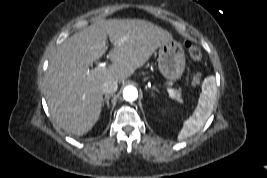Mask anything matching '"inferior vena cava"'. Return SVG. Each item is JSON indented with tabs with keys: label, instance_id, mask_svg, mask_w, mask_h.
<instances>
[{
	"label": "inferior vena cava",
	"instance_id": "inferior-vena-cava-1",
	"mask_svg": "<svg viewBox=\"0 0 267 178\" xmlns=\"http://www.w3.org/2000/svg\"><path fill=\"white\" fill-rule=\"evenodd\" d=\"M118 89V84L114 80H108L102 85V92L106 95H113Z\"/></svg>",
	"mask_w": 267,
	"mask_h": 178
}]
</instances>
